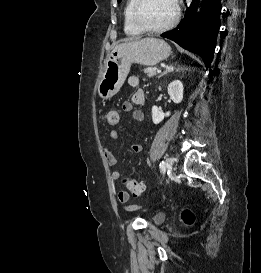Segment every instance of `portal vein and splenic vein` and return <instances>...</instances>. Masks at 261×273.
<instances>
[{"label":"portal vein and splenic vein","instance_id":"1","mask_svg":"<svg viewBox=\"0 0 261 273\" xmlns=\"http://www.w3.org/2000/svg\"><path fill=\"white\" fill-rule=\"evenodd\" d=\"M157 72H158V73H160V72H161V70H159V69H158V70H157Z\"/></svg>","mask_w":261,"mask_h":273}]
</instances>
